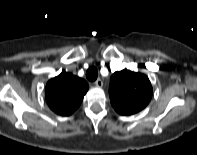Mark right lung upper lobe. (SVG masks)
<instances>
[{
  "label": "right lung upper lobe",
  "mask_w": 197,
  "mask_h": 155,
  "mask_svg": "<svg viewBox=\"0 0 197 155\" xmlns=\"http://www.w3.org/2000/svg\"><path fill=\"white\" fill-rule=\"evenodd\" d=\"M85 80L63 72L46 85V101L51 110L62 116L71 115L81 104L88 91Z\"/></svg>",
  "instance_id": "cb5924a9"
}]
</instances>
